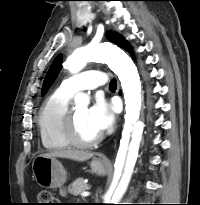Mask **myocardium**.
I'll list each match as a JSON object with an SVG mask.
<instances>
[{
	"instance_id": "1",
	"label": "myocardium",
	"mask_w": 200,
	"mask_h": 205,
	"mask_svg": "<svg viewBox=\"0 0 200 205\" xmlns=\"http://www.w3.org/2000/svg\"><path fill=\"white\" fill-rule=\"evenodd\" d=\"M64 135L70 145L78 148L93 147L101 142L103 136L99 134L91 140H83L78 136L73 109H68L64 121Z\"/></svg>"
}]
</instances>
